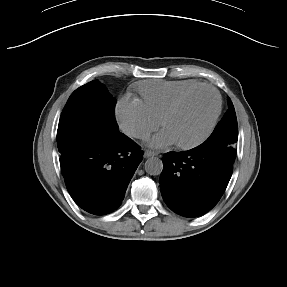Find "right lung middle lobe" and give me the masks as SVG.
Masks as SVG:
<instances>
[{
  "label": "right lung middle lobe",
  "mask_w": 287,
  "mask_h": 287,
  "mask_svg": "<svg viewBox=\"0 0 287 287\" xmlns=\"http://www.w3.org/2000/svg\"><path fill=\"white\" fill-rule=\"evenodd\" d=\"M115 105V99L98 80L76 89L59 120L57 146L61 155L84 142L118 133Z\"/></svg>",
  "instance_id": "1"
}]
</instances>
